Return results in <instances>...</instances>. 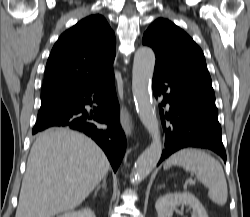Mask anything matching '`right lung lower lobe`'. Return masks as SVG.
I'll use <instances>...</instances> for the list:
<instances>
[{
    "instance_id": "98d812e1",
    "label": "right lung lower lobe",
    "mask_w": 250,
    "mask_h": 217,
    "mask_svg": "<svg viewBox=\"0 0 250 217\" xmlns=\"http://www.w3.org/2000/svg\"><path fill=\"white\" fill-rule=\"evenodd\" d=\"M98 104L88 112L85 105ZM119 104L114 73L86 89L66 93L41 104L32 134L48 128H69L85 133L103 149L116 172L126 149V139L119 123ZM107 124L108 129L96 124Z\"/></svg>"
}]
</instances>
